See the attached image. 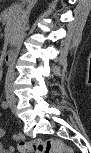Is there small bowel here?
<instances>
[{"mask_svg":"<svg viewBox=\"0 0 91 153\" xmlns=\"http://www.w3.org/2000/svg\"><path fill=\"white\" fill-rule=\"evenodd\" d=\"M5 132L3 130L0 131V137H3ZM23 139L21 136H14V140ZM0 151L4 153H11L14 151L12 146L6 148L4 145L0 144Z\"/></svg>","mask_w":91,"mask_h":153,"instance_id":"1","label":"small bowel"}]
</instances>
